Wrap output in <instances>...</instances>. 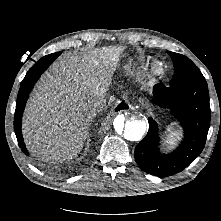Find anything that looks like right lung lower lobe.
Listing matches in <instances>:
<instances>
[{"instance_id":"right-lung-lower-lobe-1","label":"right lung lower lobe","mask_w":221,"mask_h":221,"mask_svg":"<svg viewBox=\"0 0 221 221\" xmlns=\"http://www.w3.org/2000/svg\"><path fill=\"white\" fill-rule=\"evenodd\" d=\"M60 52L52 53L47 56L42 57L39 61H37L31 69L27 72L25 78L23 79L18 97L16 102V110L14 117V130L18 140L19 147L21 150L28 155V151L25 147L22 132H21V121L22 114L26 105V101L28 99L29 93L32 90L35 82L41 76V74L48 68V66L60 55Z\"/></svg>"}]
</instances>
